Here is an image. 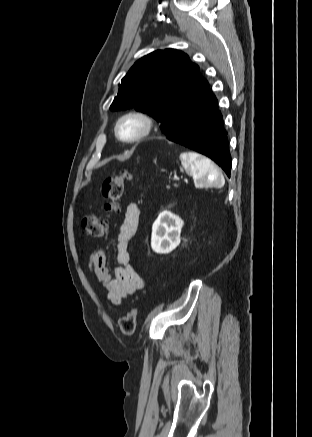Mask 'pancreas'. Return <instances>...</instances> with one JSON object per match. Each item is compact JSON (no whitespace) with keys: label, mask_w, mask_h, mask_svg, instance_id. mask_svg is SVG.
I'll return each instance as SVG.
<instances>
[{"label":"pancreas","mask_w":312,"mask_h":437,"mask_svg":"<svg viewBox=\"0 0 312 437\" xmlns=\"http://www.w3.org/2000/svg\"><path fill=\"white\" fill-rule=\"evenodd\" d=\"M175 186H177V185L175 184ZM167 188L169 189V186H167Z\"/></svg>","instance_id":"obj_1"}]
</instances>
